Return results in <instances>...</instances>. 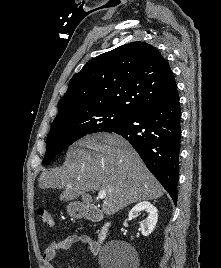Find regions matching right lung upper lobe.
Here are the masks:
<instances>
[{"label":"right lung upper lobe","mask_w":221,"mask_h":268,"mask_svg":"<svg viewBox=\"0 0 221 268\" xmlns=\"http://www.w3.org/2000/svg\"><path fill=\"white\" fill-rule=\"evenodd\" d=\"M178 97L172 70L160 52L132 42L86 63L71 78L56 117L103 110L133 117Z\"/></svg>","instance_id":"cb5924a9"}]
</instances>
